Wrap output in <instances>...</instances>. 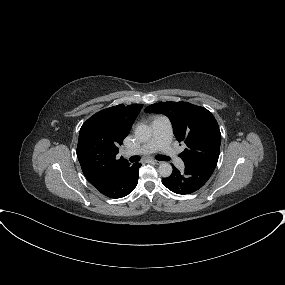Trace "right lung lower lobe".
<instances>
[{
    "label": "right lung lower lobe",
    "mask_w": 285,
    "mask_h": 285,
    "mask_svg": "<svg viewBox=\"0 0 285 285\" xmlns=\"http://www.w3.org/2000/svg\"><path fill=\"white\" fill-rule=\"evenodd\" d=\"M140 167L141 164L135 163L123 172L115 175L110 181L96 186V189L109 198L125 197L136 187Z\"/></svg>",
    "instance_id": "1"
}]
</instances>
